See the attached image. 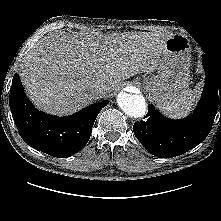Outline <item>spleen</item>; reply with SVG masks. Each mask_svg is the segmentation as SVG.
Listing matches in <instances>:
<instances>
[{
    "label": "spleen",
    "instance_id": "obj_1",
    "mask_svg": "<svg viewBox=\"0 0 221 221\" xmlns=\"http://www.w3.org/2000/svg\"><path fill=\"white\" fill-rule=\"evenodd\" d=\"M194 101L192 94L187 93L178 103L167 104L160 107V109L170 117L181 118L191 111Z\"/></svg>",
    "mask_w": 221,
    "mask_h": 221
}]
</instances>
